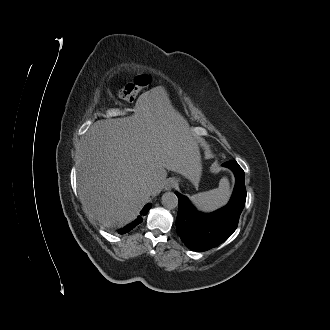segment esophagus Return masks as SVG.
<instances>
[{
    "label": "esophagus",
    "instance_id": "esophagus-1",
    "mask_svg": "<svg viewBox=\"0 0 330 330\" xmlns=\"http://www.w3.org/2000/svg\"><path fill=\"white\" fill-rule=\"evenodd\" d=\"M177 185V180L175 178H169L166 182H165V189L166 190H171L172 188H174Z\"/></svg>",
    "mask_w": 330,
    "mask_h": 330
}]
</instances>
